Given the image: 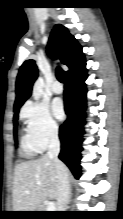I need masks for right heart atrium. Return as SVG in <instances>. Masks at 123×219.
Returning a JSON list of instances; mask_svg holds the SVG:
<instances>
[{"label":"right heart atrium","instance_id":"1","mask_svg":"<svg viewBox=\"0 0 123 219\" xmlns=\"http://www.w3.org/2000/svg\"><path fill=\"white\" fill-rule=\"evenodd\" d=\"M21 116L26 121L28 134L40 151L58 138L59 126L45 104L28 102L23 106Z\"/></svg>","mask_w":123,"mask_h":219}]
</instances>
